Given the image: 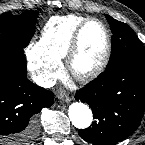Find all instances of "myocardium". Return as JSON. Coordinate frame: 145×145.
Segmentation results:
<instances>
[{"mask_svg":"<svg viewBox=\"0 0 145 145\" xmlns=\"http://www.w3.org/2000/svg\"><path fill=\"white\" fill-rule=\"evenodd\" d=\"M91 23H97L101 26L105 35V49L99 62L89 70L78 72L75 70L74 64L81 50V38L84 29ZM112 54V38L108 27L99 19L88 18L83 21L76 29L68 52L65 57V69L70 76L80 82H89L103 73L108 66Z\"/></svg>","mask_w":145,"mask_h":145,"instance_id":"obj_1","label":"myocardium"}]
</instances>
